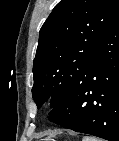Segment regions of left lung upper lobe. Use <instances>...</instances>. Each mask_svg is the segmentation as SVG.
<instances>
[{
	"label": "left lung upper lobe",
	"mask_w": 119,
	"mask_h": 141,
	"mask_svg": "<svg viewBox=\"0 0 119 141\" xmlns=\"http://www.w3.org/2000/svg\"><path fill=\"white\" fill-rule=\"evenodd\" d=\"M119 13V0H62L40 29L33 63V99L55 107L94 58Z\"/></svg>",
	"instance_id": "5c2ea615"
}]
</instances>
